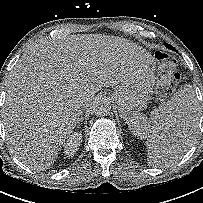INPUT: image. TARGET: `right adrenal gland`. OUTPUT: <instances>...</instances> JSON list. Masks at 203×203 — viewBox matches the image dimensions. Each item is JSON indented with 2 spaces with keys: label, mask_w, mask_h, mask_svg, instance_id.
<instances>
[{
  "label": "right adrenal gland",
  "mask_w": 203,
  "mask_h": 203,
  "mask_svg": "<svg viewBox=\"0 0 203 203\" xmlns=\"http://www.w3.org/2000/svg\"><path fill=\"white\" fill-rule=\"evenodd\" d=\"M83 122V111L81 110V117H80V122L78 123V127H80V125L82 124Z\"/></svg>",
  "instance_id": "obj_1"
}]
</instances>
